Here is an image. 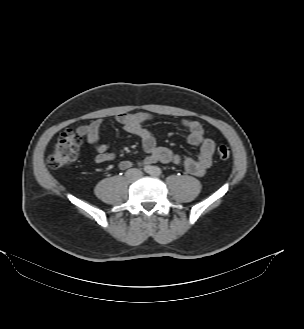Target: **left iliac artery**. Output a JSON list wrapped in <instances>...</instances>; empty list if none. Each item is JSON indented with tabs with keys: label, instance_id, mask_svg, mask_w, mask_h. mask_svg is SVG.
Masks as SVG:
<instances>
[{
	"label": "left iliac artery",
	"instance_id": "obj_1",
	"mask_svg": "<svg viewBox=\"0 0 304 329\" xmlns=\"http://www.w3.org/2000/svg\"><path fill=\"white\" fill-rule=\"evenodd\" d=\"M161 172H160V169L159 168H154V171H153V174L154 175H159Z\"/></svg>",
	"mask_w": 304,
	"mask_h": 329
}]
</instances>
